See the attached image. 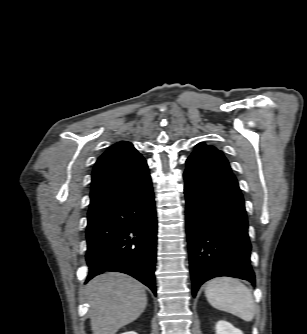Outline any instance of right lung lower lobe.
I'll use <instances>...</instances> for the list:
<instances>
[{"label": "right lung lower lobe", "instance_id": "1", "mask_svg": "<svg viewBox=\"0 0 307 334\" xmlns=\"http://www.w3.org/2000/svg\"><path fill=\"white\" fill-rule=\"evenodd\" d=\"M156 234L154 195L149 178L88 217L86 282L106 271L123 272L156 294Z\"/></svg>", "mask_w": 307, "mask_h": 334}]
</instances>
